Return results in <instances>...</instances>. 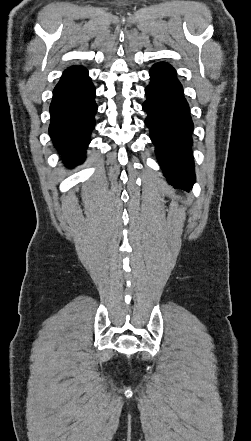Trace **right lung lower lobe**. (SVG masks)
Masks as SVG:
<instances>
[{
  "label": "right lung lower lobe",
  "instance_id": "obj_1",
  "mask_svg": "<svg viewBox=\"0 0 251 441\" xmlns=\"http://www.w3.org/2000/svg\"><path fill=\"white\" fill-rule=\"evenodd\" d=\"M95 87L82 66L66 69L54 88L49 134L68 167L84 161L97 111Z\"/></svg>",
  "mask_w": 251,
  "mask_h": 441
}]
</instances>
